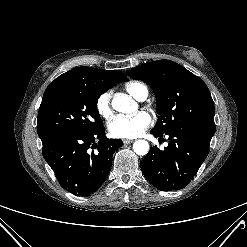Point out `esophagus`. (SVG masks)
<instances>
[{"label": "esophagus", "instance_id": "esophagus-1", "mask_svg": "<svg viewBox=\"0 0 247 247\" xmlns=\"http://www.w3.org/2000/svg\"><path fill=\"white\" fill-rule=\"evenodd\" d=\"M134 142V140H130V139H124L123 140V143L124 144H131V143H133Z\"/></svg>", "mask_w": 247, "mask_h": 247}]
</instances>
